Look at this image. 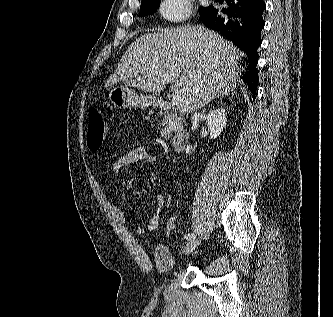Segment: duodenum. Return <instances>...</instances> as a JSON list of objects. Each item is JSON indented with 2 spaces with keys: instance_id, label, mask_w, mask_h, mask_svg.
<instances>
[{
  "instance_id": "duodenum-1",
  "label": "duodenum",
  "mask_w": 333,
  "mask_h": 317,
  "mask_svg": "<svg viewBox=\"0 0 333 317\" xmlns=\"http://www.w3.org/2000/svg\"><path fill=\"white\" fill-rule=\"evenodd\" d=\"M152 104L164 112H168L170 109V104L160 96H154L152 98ZM187 141H188V133L184 129L177 128L173 132L171 137V144L176 152L183 151Z\"/></svg>"
}]
</instances>
